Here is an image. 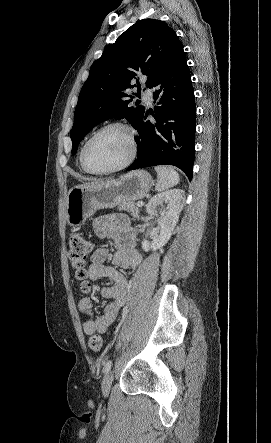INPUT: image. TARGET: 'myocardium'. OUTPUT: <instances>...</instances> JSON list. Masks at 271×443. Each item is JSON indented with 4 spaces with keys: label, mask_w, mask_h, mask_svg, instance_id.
<instances>
[{
    "label": "myocardium",
    "mask_w": 271,
    "mask_h": 443,
    "mask_svg": "<svg viewBox=\"0 0 271 443\" xmlns=\"http://www.w3.org/2000/svg\"><path fill=\"white\" fill-rule=\"evenodd\" d=\"M111 128H119L124 130L127 133L128 139H129V143H130V150H129V154L127 156V158L121 162L120 164L111 167V168H107V169H97L92 167L88 160H87V149L90 145V143L102 132H104L107 129H111ZM139 152V141H138V136L136 133V130L129 124L125 123V122H120V121H114V122H110L107 123L103 126H101L100 128H98L95 132H93L85 141V143L83 144L82 148H81V162L83 167L89 171L90 173L93 174H109V173H113L119 170H122L124 168H126L127 166H129L137 157Z\"/></svg>",
    "instance_id": "1"
}]
</instances>
